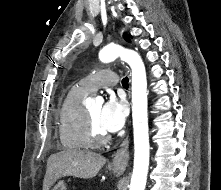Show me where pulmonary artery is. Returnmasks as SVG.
<instances>
[{
  "mask_svg": "<svg viewBox=\"0 0 221 190\" xmlns=\"http://www.w3.org/2000/svg\"><path fill=\"white\" fill-rule=\"evenodd\" d=\"M119 77L109 69L98 70L82 80L79 84L89 93H94L100 87L114 86L118 83Z\"/></svg>",
  "mask_w": 221,
  "mask_h": 190,
  "instance_id": "obj_1",
  "label": "pulmonary artery"
}]
</instances>
